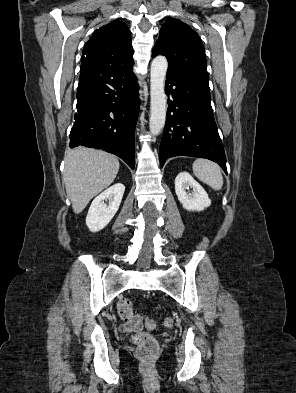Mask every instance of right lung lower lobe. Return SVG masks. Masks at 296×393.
I'll use <instances>...</instances> for the list:
<instances>
[{
	"instance_id": "1",
	"label": "right lung lower lobe",
	"mask_w": 296,
	"mask_h": 393,
	"mask_svg": "<svg viewBox=\"0 0 296 393\" xmlns=\"http://www.w3.org/2000/svg\"><path fill=\"white\" fill-rule=\"evenodd\" d=\"M133 64H81L77 112L70 133L71 148L102 149L119 156L132 169L140 104Z\"/></svg>"
}]
</instances>
